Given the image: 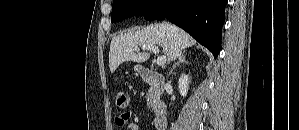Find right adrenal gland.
<instances>
[{
  "label": "right adrenal gland",
  "mask_w": 299,
  "mask_h": 130,
  "mask_svg": "<svg viewBox=\"0 0 299 130\" xmlns=\"http://www.w3.org/2000/svg\"><path fill=\"white\" fill-rule=\"evenodd\" d=\"M187 64L188 61L185 59V55L183 54L180 58H179V61L171 68V70L169 71L168 75L172 74L173 71L176 69V67L179 65V64Z\"/></svg>",
  "instance_id": "obj_1"
}]
</instances>
